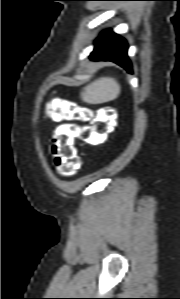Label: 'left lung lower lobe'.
I'll list each match as a JSON object with an SVG mask.
<instances>
[{
	"label": "left lung lower lobe",
	"mask_w": 180,
	"mask_h": 299,
	"mask_svg": "<svg viewBox=\"0 0 180 299\" xmlns=\"http://www.w3.org/2000/svg\"><path fill=\"white\" fill-rule=\"evenodd\" d=\"M127 42L111 30L103 31L95 41L90 58L98 61H112L132 72L131 62L127 56Z\"/></svg>",
	"instance_id": "0a47b994"
}]
</instances>
